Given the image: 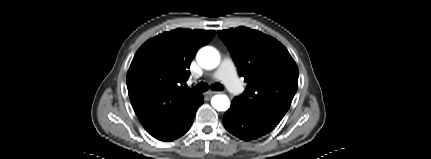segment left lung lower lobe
I'll return each mask as SVG.
<instances>
[{"label": "left lung lower lobe", "mask_w": 431, "mask_h": 159, "mask_svg": "<svg viewBox=\"0 0 431 159\" xmlns=\"http://www.w3.org/2000/svg\"><path fill=\"white\" fill-rule=\"evenodd\" d=\"M281 120L271 115L253 111L234 99L223 116L225 128L236 137L250 141L272 131Z\"/></svg>", "instance_id": "0a47b994"}]
</instances>
